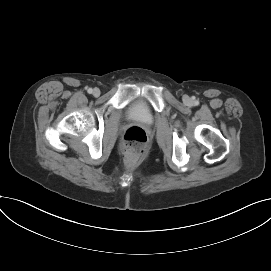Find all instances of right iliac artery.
Here are the masks:
<instances>
[{
	"label": "right iliac artery",
	"instance_id": "1",
	"mask_svg": "<svg viewBox=\"0 0 271 271\" xmlns=\"http://www.w3.org/2000/svg\"><path fill=\"white\" fill-rule=\"evenodd\" d=\"M87 92L91 94L93 92V89L92 88H88Z\"/></svg>",
	"mask_w": 271,
	"mask_h": 271
}]
</instances>
